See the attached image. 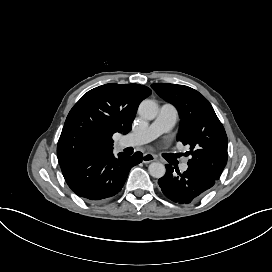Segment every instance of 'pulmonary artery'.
<instances>
[{
	"label": "pulmonary artery",
	"mask_w": 272,
	"mask_h": 272,
	"mask_svg": "<svg viewBox=\"0 0 272 272\" xmlns=\"http://www.w3.org/2000/svg\"><path fill=\"white\" fill-rule=\"evenodd\" d=\"M177 111L174 107L165 104L160 107L156 119L147 127L133 135H126L124 143L131 144H146L157 138L160 134L168 132L172 129L177 121ZM177 168L180 172H185L188 168L184 161L177 163Z\"/></svg>",
	"instance_id": "e3ab8cb5"
}]
</instances>
